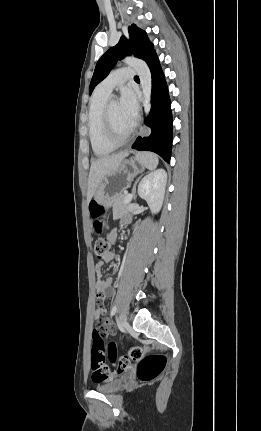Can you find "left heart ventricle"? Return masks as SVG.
Here are the masks:
<instances>
[{
  "instance_id": "b2bd125f",
  "label": "left heart ventricle",
  "mask_w": 261,
  "mask_h": 431,
  "mask_svg": "<svg viewBox=\"0 0 261 431\" xmlns=\"http://www.w3.org/2000/svg\"><path fill=\"white\" fill-rule=\"evenodd\" d=\"M110 118L116 134L120 137L125 136L132 128L123 117L117 102L110 105Z\"/></svg>"
}]
</instances>
